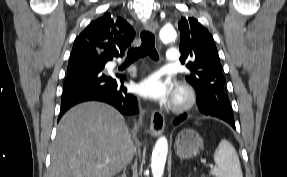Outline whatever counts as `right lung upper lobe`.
<instances>
[{
	"label": "right lung upper lobe",
	"instance_id": "obj_1",
	"mask_svg": "<svg viewBox=\"0 0 287 177\" xmlns=\"http://www.w3.org/2000/svg\"><path fill=\"white\" fill-rule=\"evenodd\" d=\"M134 37L135 31L129 23L106 13L92 21L75 39L69 61L89 56L112 60L123 55Z\"/></svg>",
	"mask_w": 287,
	"mask_h": 177
}]
</instances>
